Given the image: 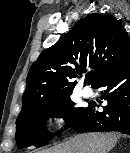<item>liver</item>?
<instances>
[{
	"mask_svg": "<svg viewBox=\"0 0 130 153\" xmlns=\"http://www.w3.org/2000/svg\"><path fill=\"white\" fill-rule=\"evenodd\" d=\"M118 139L115 133L78 134L40 153H108Z\"/></svg>",
	"mask_w": 130,
	"mask_h": 153,
	"instance_id": "1",
	"label": "liver"
}]
</instances>
